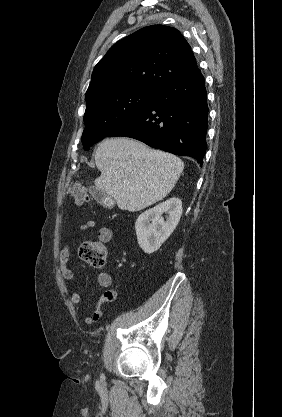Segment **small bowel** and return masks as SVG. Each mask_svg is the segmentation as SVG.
Here are the masks:
<instances>
[{
  "label": "small bowel",
  "instance_id": "c3829d8e",
  "mask_svg": "<svg viewBox=\"0 0 282 417\" xmlns=\"http://www.w3.org/2000/svg\"><path fill=\"white\" fill-rule=\"evenodd\" d=\"M95 227H96V221L95 220H87L86 222H84L83 224H81L79 226V231H87V230L93 229ZM98 237L101 241L108 243V242L112 241L113 234H112V231H111L110 228L103 226V227L99 228V230H98ZM69 258H70V250H69L68 246H65L60 251V254H59V267H60V271H61L62 276L66 280L72 281L74 279L75 275H74V272L68 266ZM98 283H99L100 287L105 289V291L100 296L96 309L92 313H90L86 316L85 322L88 325L94 324L99 320V318L101 317V306L104 303L113 301L118 296V292L116 290L110 289L112 279H111V276L108 273L101 272L98 275ZM70 300L74 304H79L82 300V297H81L80 293L72 292L70 294Z\"/></svg>",
  "mask_w": 282,
  "mask_h": 417
}]
</instances>
